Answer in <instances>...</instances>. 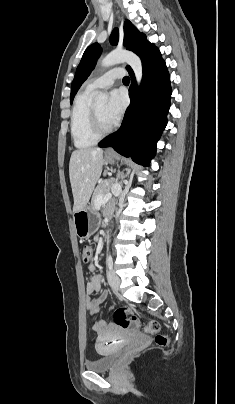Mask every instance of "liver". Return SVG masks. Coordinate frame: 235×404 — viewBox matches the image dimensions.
Returning a JSON list of instances; mask_svg holds the SVG:
<instances>
[{
	"label": "liver",
	"instance_id": "liver-1",
	"mask_svg": "<svg viewBox=\"0 0 235 404\" xmlns=\"http://www.w3.org/2000/svg\"><path fill=\"white\" fill-rule=\"evenodd\" d=\"M103 150L87 148L75 150L69 162V177L73 193V212L85 208L101 176Z\"/></svg>",
	"mask_w": 235,
	"mask_h": 404
}]
</instances>
